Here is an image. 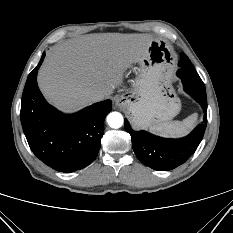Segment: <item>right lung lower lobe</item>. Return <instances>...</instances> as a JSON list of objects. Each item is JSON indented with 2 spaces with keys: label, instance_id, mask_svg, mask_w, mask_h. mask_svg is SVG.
<instances>
[{
  "label": "right lung lower lobe",
  "instance_id": "obj_1",
  "mask_svg": "<svg viewBox=\"0 0 233 233\" xmlns=\"http://www.w3.org/2000/svg\"><path fill=\"white\" fill-rule=\"evenodd\" d=\"M45 57L29 74L21 102V123L33 153L60 172L85 168L96 158L104 133V119L112 103L105 100L73 115L50 106L37 85V72Z\"/></svg>",
  "mask_w": 233,
  "mask_h": 233
}]
</instances>
